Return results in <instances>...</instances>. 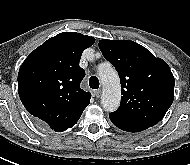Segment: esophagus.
<instances>
[{
    "instance_id": "1",
    "label": "esophagus",
    "mask_w": 190,
    "mask_h": 165,
    "mask_svg": "<svg viewBox=\"0 0 190 165\" xmlns=\"http://www.w3.org/2000/svg\"><path fill=\"white\" fill-rule=\"evenodd\" d=\"M94 95H95L96 98H99L101 96V89L95 90Z\"/></svg>"
}]
</instances>
